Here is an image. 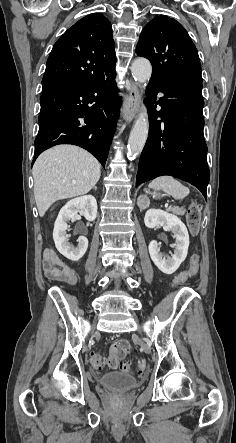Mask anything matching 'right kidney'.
I'll return each instance as SVG.
<instances>
[{"label": "right kidney", "instance_id": "right-kidney-1", "mask_svg": "<svg viewBox=\"0 0 236 443\" xmlns=\"http://www.w3.org/2000/svg\"><path fill=\"white\" fill-rule=\"evenodd\" d=\"M81 213L86 220L94 221L97 216V202L91 195L81 196L68 201L60 210L54 224L53 239L57 250L72 261L80 260L88 248V240L80 236L77 246L68 242L70 235L67 234L69 220H75Z\"/></svg>", "mask_w": 236, "mask_h": 443}]
</instances>
